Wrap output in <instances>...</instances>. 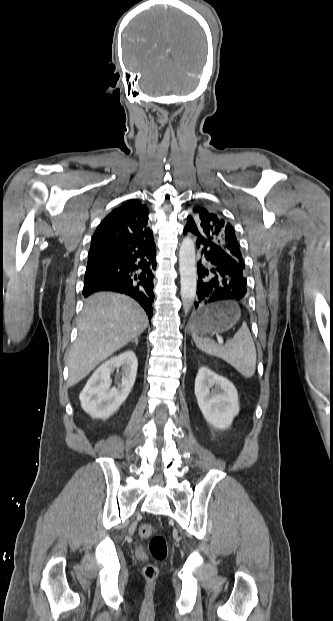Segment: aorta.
I'll use <instances>...</instances> for the list:
<instances>
[{
  "mask_svg": "<svg viewBox=\"0 0 333 621\" xmlns=\"http://www.w3.org/2000/svg\"><path fill=\"white\" fill-rule=\"evenodd\" d=\"M181 299L185 312L192 307L196 296V261L194 241L186 236L179 250Z\"/></svg>",
  "mask_w": 333,
  "mask_h": 621,
  "instance_id": "aorta-1",
  "label": "aorta"
}]
</instances>
